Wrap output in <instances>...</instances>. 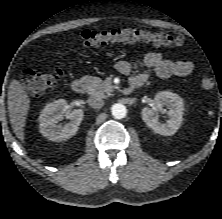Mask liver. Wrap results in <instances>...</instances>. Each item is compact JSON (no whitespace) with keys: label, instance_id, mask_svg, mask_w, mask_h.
<instances>
[{"label":"liver","instance_id":"liver-1","mask_svg":"<svg viewBox=\"0 0 222 219\" xmlns=\"http://www.w3.org/2000/svg\"><path fill=\"white\" fill-rule=\"evenodd\" d=\"M7 104L13 131L19 140L24 141V127L30 99L22 84L15 79L9 85Z\"/></svg>","mask_w":222,"mask_h":219}]
</instances>
